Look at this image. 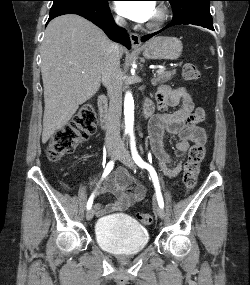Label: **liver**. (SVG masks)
I'll use <instances>...</instances> for the list:
<instances>
[{
	"label": "liver",
	"instance_id": "1",
	"mask_svg": "<svg viewBox=\"0 0 250 285\" xmlns=\"http://www.w3.org/2000/svg\"><path fill=\"white\" fill-rule=\"evenodd\" d=\"M111 44L102 30L80 16L63 15L49 23L41 47L43 143L99 90L101 63Z\"/></svg>",
	"mask_w": 250,
	"mask_h": 285
}]
</instances>
